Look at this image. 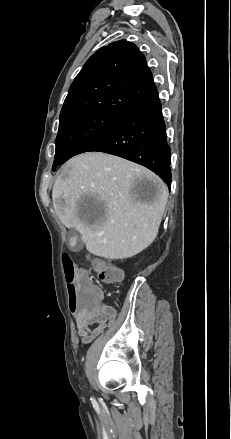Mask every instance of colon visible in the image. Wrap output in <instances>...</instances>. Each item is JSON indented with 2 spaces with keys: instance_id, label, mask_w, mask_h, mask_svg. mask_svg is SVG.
<instances>
[{
  "instance_id": "1",
  "label": "colon",
  "mask_w": 231,
  "mask_h": 439,
  "mask_svg": "<svg viewBox=\"0 0 231 439\" xmlns=\"http://www.w3.org/2000/svg\"><path fill=\"white\" fill-rule=\"evenodd\" d=\"M63 268L67 281L68 295H69V313H82L86 309L98 306V297L101 289L95 286L90 275L85 272H78L73 260L67 254L63 255ZM93 267L97 272L101 281L105 283L118 282L121 277V271L101 259L93 260ZM80 287L84 293H77V288ZM86 319L91 320L94 317L93 312L88 311L85 314Z\"/></svg>"
}]
</instances>
